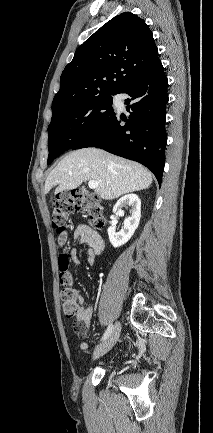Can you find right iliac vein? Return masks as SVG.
I'll use <instances>...</instances> for the list:
<instances>
[{"label":"right iliac vein","instance_id":"63e3f726","mask_svg":"<svg viewBox=\"0 0 213 433\" xmlns=\"http://www.w3.org/2000/svg\"><path fill=\"white\" fill-rule=\"evenodd\" d=\"M121 332L120 322H116L109 337L100 344L93 353V360H96L106 354L117 342Z\"/></svg>","mask_w":213,"mask_h":433}]
</instances>
